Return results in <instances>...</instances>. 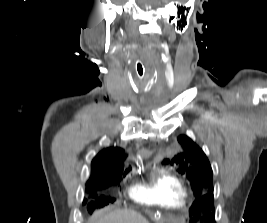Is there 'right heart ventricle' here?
Listing matches in <instances>:
<instances>
[{"mask_svg": "<svg viewBox=\"0 0 267 223\" xmlns=\"http://www.w3.org/2000/svg\"><path fill=\"white\" fill-rule=\"evenodd\" d=\"M129 194L136 202L172 209L183 208L189 198L184 181L164 169L154 172L142 185L132 187Z\"/></svg>", "mask_w": 267, "mask_h": 223, "instance_id": "obj_1", "label": "right heart ventricle"}]
</instances>
